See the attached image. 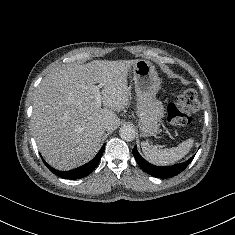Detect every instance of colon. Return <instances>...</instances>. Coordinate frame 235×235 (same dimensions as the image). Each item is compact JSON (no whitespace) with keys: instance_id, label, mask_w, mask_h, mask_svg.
I'll return each mask as SVG.
<instances>
[{"instance_id":"obj_1","label":"colon","mask_w":235,"mask_h":235,"mask_svg":"<svg viewBox=\"0 0 235 235\" xmlns=\"http://www.w3.org/2000/svg\"><path fill=\"white\" fill-rule=\"evenodd\" d=\"M199 108L198 96L195 90L187 89L182 92L167 107V118L170 124L176 128L189 125L192 114Z\"/></svg>"}]
</instances>
